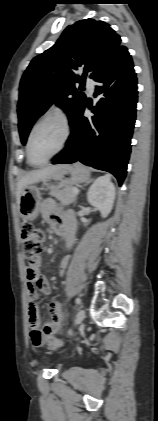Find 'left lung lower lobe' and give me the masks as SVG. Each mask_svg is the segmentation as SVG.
<instances>
[{
	"label": "left lung lower lobe",
	"mask_w": 158,
	"mask_h": 421,
	"mask_svg": "<svg viewBox=\"0 0 158 421\" xmlns=\"http://www.w3.org/2000/svg\"><path fill=\"white\" fill-rule=\"evenodd\" d=\"M96 106L94 116H83L87 101L71 123L73 132L65 149L53 158V164L80 161L112 173L122 185L131 152L136 103L137 78L126 47L122 46L110 63L94 78Z\"/></svg>",
	"instance_id": "1"
}]
</instances>
